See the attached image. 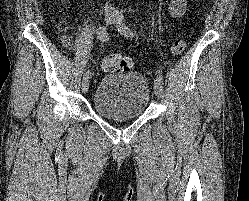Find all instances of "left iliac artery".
<instances>
[{
    "label": "left iliac artery",
    "mask_w": 249,
    "mask_h": 201,
    "mask_svg": "<svg viewBox=\"0 0 249 201\" xmlns=\"http://www.w3.org/2000/svg\"><path fill=\"white\" fill-rule=\"evenodd\" d=\"M118 31H120L123 35L128 36V37H134L135 33L128 27V26H122L120 29H118ZM158 80H160L161 82H163V74L158 71L157 73V77Z\"/></svg>",
    "instance_id": "1"
}]
</instances>
